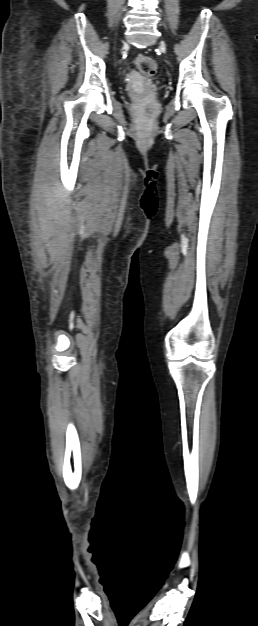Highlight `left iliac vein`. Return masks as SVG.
<instances>
[{
  "instance_id": "1",
  "label": "left iliac vein",
  "mask_w": 258,
  "mask_h": 626,
  "mask_svg": "<svg viewBox=\"0 0 258 626\" xmlns=\"http://www.w3.org/2000/svg\"><path fill=\"white\" fill-rule=\"evenodd\" d=\"M161 49L163 52H166V45L163 41L161 42Z\"/></svg>"
}]
</instances>
